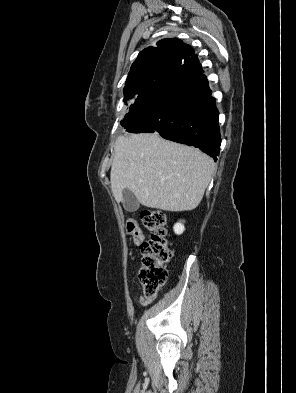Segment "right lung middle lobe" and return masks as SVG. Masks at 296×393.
<instances>
[{
	"mask_svg": "<svg viewBox=\"0 0 296 393\" xmlns=\"http://www.w3.org/2000/svg\"><path fill=\"white\" fill-rule=\"evenodd\" d=\"M164 80V78L153 79L142 88V90L138 93L139 95L135 99L134 103L131 104L129 112L121 121L122 126H125L138 116L141 110L153 99L156 91Z\"/></svg>",
	"mask_w": 296,
	"mask_h": 393,
	"instance_id": "right-lung-middle-lobe-1",
	"label": "right lung middle lobe"
}]
</instances>
